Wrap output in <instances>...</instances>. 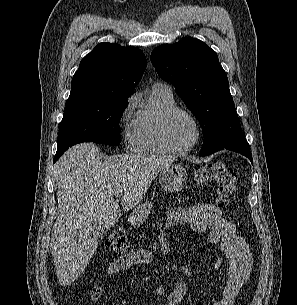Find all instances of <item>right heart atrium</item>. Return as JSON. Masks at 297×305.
<instances>
[{"mask_svg":"<svg viewBox=\"0 0 297 305\" xmlns=\"http://www.w3.org/2000/svg\"><path fill=\"white\" fill-rule=\"evenodd\" d=\"M134 101H135L134 96L129 97L119 116V123L123 128L124 140L128 141V142H129V138L131 135L132 126H133V119L131 117V114H132V108H133Z\"/></svg>","mask_w":297,"mask_h":305,"instance_id":"1","label":"right heart atrium"}]
</instances>
